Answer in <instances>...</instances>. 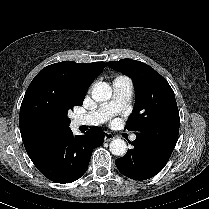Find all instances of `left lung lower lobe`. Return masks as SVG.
I'll use <instances>...</instances> for the list:
<instances>
[{"label": "left lung lower lobe", "instance_id": "obj_1", "mask_svg": "<svg viewBox=\"0 0 209 209\" xmlns=\"http://www.w3.org/2000/svg\"><path fill=\"white\" fill-rule=\"evenodd\" d=\"M134 148L115 160L118 170L135 180H146L158 174L167 164L178 136L150 133L136 134Z\"/></svg>", "mask_w": 209, "mask_h": 209}]
</instances>
